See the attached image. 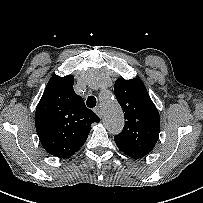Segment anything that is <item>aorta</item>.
Here are the masks:
<instances>
[{
    "instance_id": "obj_1",
    "label": "aorta",
    "mask_w": 203,
    "mask_h": 203,
    "mask_svg": "<svg viewBox=\"0 0 203 203\" xmlns=\"http://www.w3.org/2000/svg\"><path fill=\"white\" fill-rule=\"evenodd\" d=\"M100 102L107 130L112 134L120 133L124 126V116L120 105L109 92L100 95Z\"/></svg>"
}]
</instances>
